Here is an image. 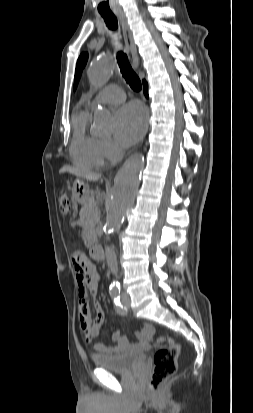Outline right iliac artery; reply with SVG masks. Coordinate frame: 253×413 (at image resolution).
<instances>
[{
    "label": "right iliac artery",
    "mask_w": 253,
    "mask_h": 413,
    "mask_svg": "<svg viewBox=\"0 0 253 413\" xmlns=\"http://www.w3.org/2000/svg\"><path fill=\"white\" fill-rule=\"evenodd\" d=\"M111 298L113 299L115 310L119 315H126L127 310L120 302V290L114 289L110 291Z\"/></svg>",
    "instance_id": "obj_1"
}]
</instances>
